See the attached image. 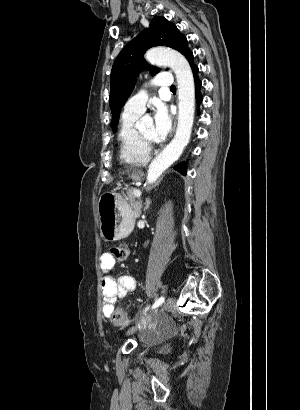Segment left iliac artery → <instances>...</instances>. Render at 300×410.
Masks as SVG:
<instances>
[{"label": "left iliac artery", "instance_id": "44dca946", "mask_svg": "<svg viewBox=\"0 0 300 410\" xmlns=\"http://www.w3.org/2000/svg\"><path fill=\"white\" fill-rule=\"evenodd\" d=\"M163 302H164V297L157 299L155 303L153 304L152 309L159 307Z\"/></svg>", "mask_w": 300, "mask_h": 410}]
</instances>
